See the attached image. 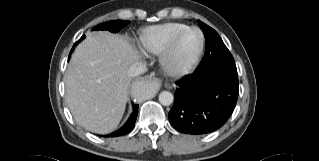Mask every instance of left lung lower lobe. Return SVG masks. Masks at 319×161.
Returning a JSON list of instances; mask_svg holds the SVG:
<instances>
[{"label": "left lung lower lobe", "instance_id": "left-lung-lower-lobe-1", "mask_svg": "<svg viewBox=\"0 0 319 161\" xmlns=\"http://www.w3.org/2000/svg\"><path fill=\"white\" fill-rule=\"evenodd\" d=\"M176 85L168 118L175 129L186 134H207L222 127L238 98L237 73L229 71L196 72Z\"/></svg>", "mask_w": 319, "mask_h": 161}]
</instances>
